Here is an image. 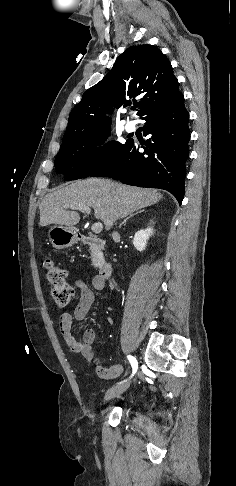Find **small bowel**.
Here are the masks:
<instances>
[{
  "label": "small bowel",
  "mask_w": 236,
  "mask_h": 486,
  "mask_svg": "<svg viewBox=\"0 0 236 486\" xmlns=\"http://www.w3.org/2000/svg\"><path fill=\"white\" fill-rule=\"evenodd\" d=\"M104 285L105 283L102 282L98 276L93 279L94 289L101 290L104 288ZM72 288L73 290L79 291V302L75 307L73 314L63 312L59 317V328L65 345L71 353L80 354L89 363L94 364L100 378L105 380L117 378L123 372V367L120 364H115L110 367H103L100 364V360L93 346L96 339L95 330L92 328L86 329L81 340L77 339L74 335L72 330L73 320L82 321L85 319L94 302L95 295L93 290L81 280H76Z\"/></svg>",
  "instance_id": "small-bowel-1"
}]
</instances>
